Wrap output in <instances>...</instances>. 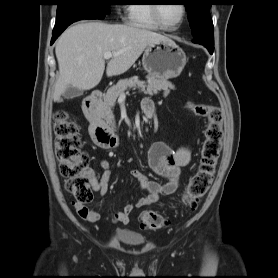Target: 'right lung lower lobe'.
Returning <instances> with one entry per match:
<instances>
[{"mask_svg":"<svg viewBox=\"0 0 278 278\" xmlns=\"http://www.w3.org/2000/svg\"><path fill=\"white\" fill-rule=\"evenodd\" d=\"M73 22L71 23H68L66 25H63L61 27H54V30H53V37H52V40H51V44L57 39V37L70 25L72 24Z\"/></svg>","mask_w":278,"mask_h":278,"instance_id":"right-lung-lower-lobe-1","label":"right lung lower lobe"}]
</instances>
